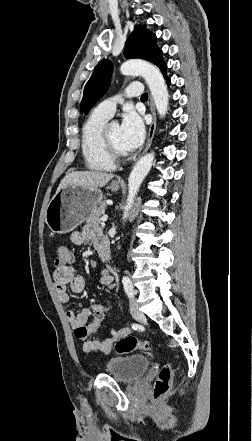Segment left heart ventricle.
Listing matches in <instances>:
<instances>
[{
    "label": "left heart ventricle",
    "mask_w": 252,
    "mask_h": 441,
    "mask_svg": "<svg viewBox=\"0 0 252 441\" xmlns=\"http://www.w3.org/2000/svg\"><path fill=\"white\" fill-rule=\"evenodd\" d=\"M109 138L112 145L120 152H123L120 146V126L112 124L109 126Z\"/></svg>",
    "instance_id": "1"
}]
</instances>
